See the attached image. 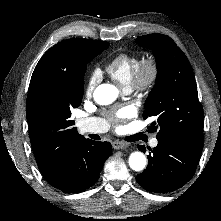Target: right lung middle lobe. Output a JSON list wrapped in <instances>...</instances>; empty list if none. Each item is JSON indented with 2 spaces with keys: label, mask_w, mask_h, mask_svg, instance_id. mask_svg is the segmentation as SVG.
<instances>
[{
  "label": "right lung middle lobe",
  "mask_w": 221,
  "mask_h": 221,
  "mask_svg": "<svg viewBox=\"0 0 221 221\" xmlns=\"http://www.w3.org/2000/svg\"><path fill=\"white\" fill-rule=\"evenodd\" d=\"M108 46L109 43L105 41L88 40L79 50L77 54V62L79 64L77 75L71 79L64 80L54 98L48 97L43 101L42 110L47 115L55 112L57 107H62L70 115V109L80 106L84 92L83 76L87 63L107 49Z\"/></svg>",
  "instance_id": "right-lung-middle-lobe-1"
}]
</instances>
